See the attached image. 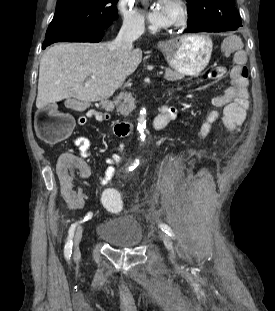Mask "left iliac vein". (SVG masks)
I'll return each mask as SVG.
<instances>
[{
    "label": "left iliac vein",
    "mask_w": 275,
    "mask_h": 311,
    "mask_svg": "<svg viewBox=\"0 0 275 311\" xmlns=\"http://www.w3.org/2000/svg\"><path fill=\"white\" fill-rule=\"evenodd\" d=\"M159 236L162 239V241L164 242L168 251L170 252L171 258L174 259L175 258L174 248H173V243H172L170 236L168 234H166L165 232H159Z\"/></svg>",
    "instance_id": "left-iliac-vein-1"
}]
</instances>
